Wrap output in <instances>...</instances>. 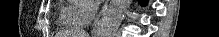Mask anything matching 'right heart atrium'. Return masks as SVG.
<instances>
[{"label":"right heart atrium","instance_id":"1","mask_svg":"<svg viewBox=\"0 0 219 37\" xmlns=\"http://www.w3.org/2000/svg\"><path fill=\"white\" fill-rule=\"evenodd\" d=\"M75 5L78 8L77 19L81 23H87L93 19L96 5L92 0H75Z\"/></svg>","mask_w":219,"mask_h":37}]
</instances>
